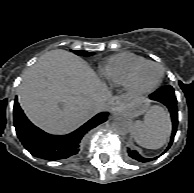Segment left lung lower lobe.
Segmentation results:
<instances>
[{"mask_svg":"<svg viewBox=\"0 0 194 193\" xmlns=\"http://www.w3.org/2000/svg\"><path fill=\"white\" fill-rule=\"evenodd\" d=\"M150 99L161 102L164 104L170 112L171 119H172V135L170 143L167 149L172 145L174 140V136L177 131V124H178V115H177V100L174 94V89L171 86H164L163 88L159 89L155 93L150 95ZM128 155L139 162H148L152 159L142 157L137 151L128 149Z\"/></svg>","mask_w":194,"mask_h":193,"instance_id":"0a47b994","label":"left lung lower lobe"}]
</instances>
